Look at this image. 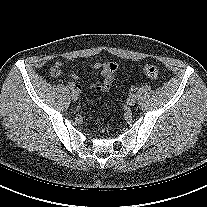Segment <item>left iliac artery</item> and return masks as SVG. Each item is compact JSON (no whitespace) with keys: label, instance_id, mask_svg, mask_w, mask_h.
Listing matches in <instances>:
<instances>
[{"label":"left iliac artery","instance_id":"left-iliac-artery-1","mask_svg":"<svg viewBox=\"0 0 207 207\" xmlns=\"http://www.w3.org/2000/svg\"><path fill=\"white\" fill-rule=\"evenodd\" d=\"M136 90H137L136 87H132V88H131V91H133V92H135Z\"/></svg>","mask_w":207,"mask_h":207}]
</instances>
